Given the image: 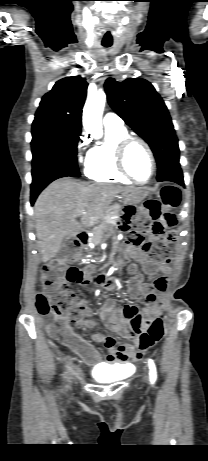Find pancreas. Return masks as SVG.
I'll list each match as a JSON object with an SVG mask.
<instances>
[{"label": "pancreas", "instance_id": "1", "mask_svg": "<svg viewBox=\"0 0 208 461\" xmlns=\"http://www.w3.org/2000/svg\"><path fill=\"white\" fill-rule=\"evenodd\" d=\"M121 206L113 205L106 210L103 218L100 220V225L94 230L92 240L99 242L105 238V233H114V227L120 220Z\"/></svg>", "mask_w": 208, "mask_h": 461}]
</instances>
